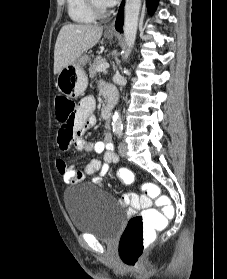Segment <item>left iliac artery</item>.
<instances>
[{
	"label": "left iliac artery",
	"instance_id": "obj_1",
	"mask_svg": "<svg viewBox=\"0 0 227 279\" xmlns=\"http://www.w3.org/2000/svg\"><path fill=\"white\" fill-rule=\"evenodd\" d=\"M116 133L118 134L119 138L122 136V130H117Z\"/></svg>",
	"mask_w": 227,
	"mask_h": 279
}]
</instances>
